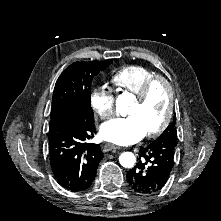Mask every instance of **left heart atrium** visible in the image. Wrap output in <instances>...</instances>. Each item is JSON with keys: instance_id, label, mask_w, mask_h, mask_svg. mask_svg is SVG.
Returning <instances> with one entry per match:
<instances>
[{"instance_id": "1", "label": "left heart atrium", "mask_w": 221, "mask_h": 221, "mask_svg": "<svg viewBox=\"0 0 221 221\" xmlns=\"http://www.w3.org/2000/svg\"><path fill=\"white\" fill-rule=\"evenodd\" d=\"M145 134L138 121L131 116L111 119L100 127V135L104 140L120 145L135 143Z\"/></svg>"}]
</instances>
